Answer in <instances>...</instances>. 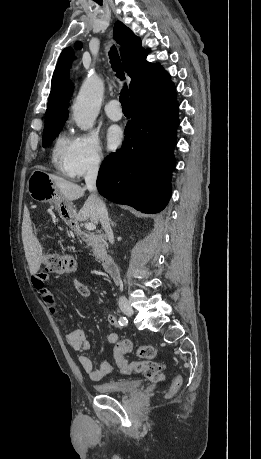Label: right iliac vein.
Wrapping results in <instances>:
<instances>
[{
    "instance_id": "right-iliac-vein-1",
    "label": "right iliac vein",
    "mask_w": 261,
    "mask_h": 459,
    "mask_svg": "<svg viewBox=\"0 0 261 459\" xmlns=\"http://www.w3.org/2000/svg\"><path fill=\"white\" fill-rule=\"evenodd\" d=\"M120 309L127 316H132L134 314V311H133L132 307L127 302L121 303L120 304Z\"/></svg>"
}]
</instances>
